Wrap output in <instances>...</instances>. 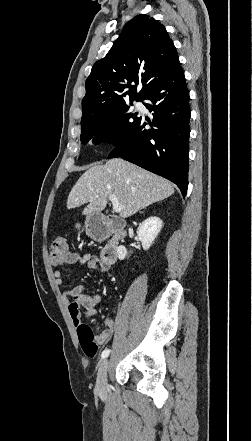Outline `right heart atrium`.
I'll return each instance as SVG.
<instances>
[{
    "instance_id": "d8ad5b80",
    "label": "right heart atrium",
    "mask_w": 252,
    "mask_h": 441,
    "mask_svg": "<svg viewBox=\"0 0 252 441\" xmlns=\"http://www.w3.org/2000/svg\"><path fill=\"white\" fill-rule=\"evenodd\" d=\"M114 133V129L111 126H106L103 129V135L105 138H110Z\"/></svg>"
}]
</instances>
